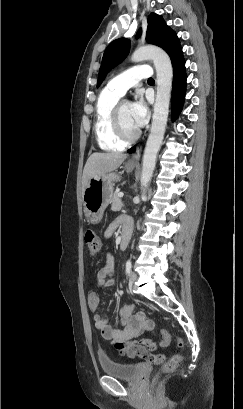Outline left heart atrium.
I'll use <instances>...</instances> for the list:
<instances>
[{
    "instance_id": "left-heart-atrium-1",
    "label": "left heart atrium",
    "mask_w": 243,
    "mask_h": 409,
    "mask_svg": "<svg viewBox=\"0 0 243 409\" xmlns=\"http://www.w3.org/2000/svg\"><path fill=\"white\" fill-rule=\"evenodd\" d=\"M130 115L133 124L138 129L143 127L149 119V110L145 100L142 97L137 98L130 104Z\"/></svg>"
}]
</instances>
